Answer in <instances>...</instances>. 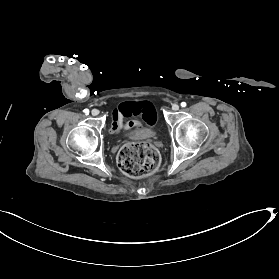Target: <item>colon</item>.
<instances>
[{
    "mask_svg": "<svg viewBox=\"0 0 279 279\" xmlns=\"http://www.w3.org/2000/svg\"><path fill=\"white\" fill-rule=\"evenodd\" d=\"M159 161L156 149L146 142L127 144L122 147L118 154V164L121 171L133 178L154 172Z\"/></svg>",
    "mask_w": 279,
    "mask_h": 279,
    "instance_id": "obj_1",
    "label": "colon"
}]
</instances>
